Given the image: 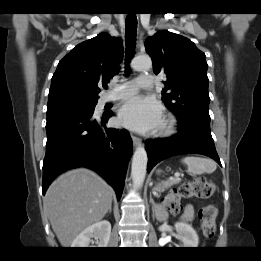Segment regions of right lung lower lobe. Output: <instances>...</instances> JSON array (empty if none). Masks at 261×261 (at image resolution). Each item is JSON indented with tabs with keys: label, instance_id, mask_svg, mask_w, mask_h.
<instances>
[{
	"label": "right lung lower lobe",
	"instance_id": "98d812e1",
	"mask_svg": "<svg viewBox=\"0 0 261 261\" xmlns=\"http://www.w3.org/2000/svg\"><path fill=\"white\" fill-rule=\"evenodd\" d=\"M112 115L96 118L94 112L71 110L47 116L43 194L62 172L87 167L100 174L121 198L132 139L124 129L106 128Z\"/></svg>",
	"mask_w": 261,
	"mask_h": 261
}]
</instances>
